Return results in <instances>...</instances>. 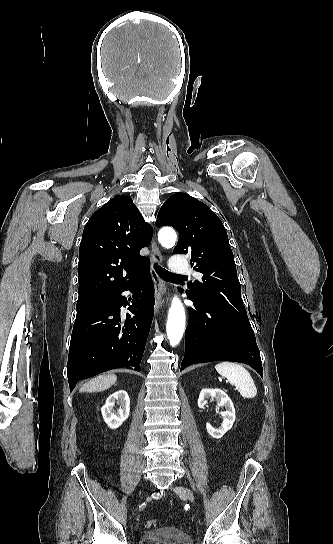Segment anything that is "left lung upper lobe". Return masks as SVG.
Returning <instances> with one entry per match:
<instances>
[{"label": "left lung upper lobe", "instance_id": "1", "mask_svg": "<svg viewBox=\"0 0 333 544\" xmlns=\"http://www.w3.org/2000/svg\"><path fill=\"white\" fill-rule=\"evenodd\" d=\"M173 226L179 232L176 254L191 253L202 281L189 282L186 293L196 300L249 323L227 232L219 217L204 203L185 193L169 197L156 226ZM250 324V323H249Z\"/></svg>", "mask_w": 333, "mask_h": 544}]
</instances>
